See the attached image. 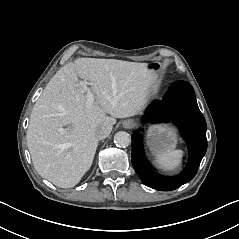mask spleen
<instances>
[{
  "mask_svg": "<svg viewBox=\"0 0 239 239\" xmlns=\"http://www.w3.org/2000/svg\"><path fill=\"white\" fill-rule=\"evenodd\" d=\"M183 154L182 150H167L156 157V162L163 169L173 170L180 166Z\"/></svg>",
  "mask_w": 239,
  "mask_h": 239,
  "instance_id": "spleen-1",
  "label": "spleen"
}]
</instances>
